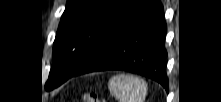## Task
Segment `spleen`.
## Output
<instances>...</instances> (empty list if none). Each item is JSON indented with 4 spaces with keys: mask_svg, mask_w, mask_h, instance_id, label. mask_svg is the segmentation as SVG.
<instances>
[{
    "mask_svg": "<svg viewBox=\"0 0 221 102\" xmlns=\"http://www.w3.org/2000/svg\"><path fill=\"white\" fill-rule=\"evenodd\" d=\"M110 94L119 102H144L147 94L146 82L128 74H119L110 78Z\"/></svg>",
    "mask_w": 221,
    "mask_h": 102,
    "instance_id": "obj_1",
    "label": "spleen"
}]
</instances>
